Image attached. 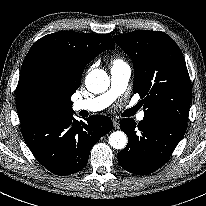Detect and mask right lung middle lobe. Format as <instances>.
Instances as JSON below:
<instances>
[{"instance_id": "dd1d6c3e", "label": "right lung middle lobe", "mask_w": 206, "mask_h": 206, "mask_svg": "<svg viewBox=\"0 0 206 206\" xmlns=\"http://www.w3.org/2000/svg\"><path fill=\"white\" fill-rule=\"evenodd\" d=\"M71 100L61 99L57 85L47 72L36 80L31 97L29 126L55 121L71 112Z\"/></svg>"}]
</instances>
